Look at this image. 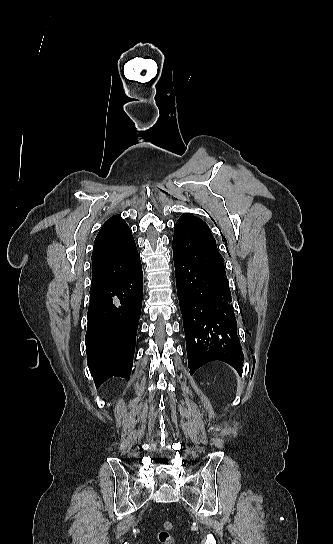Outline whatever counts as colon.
<instances>
[{"label": "colon", "instance_id": "1", "mask_svg": "<svg viewBox=\"0 0 333 544\" xmlns=\"http://www.w3.org/2000/svg\"><path fill=\"white\" fill-rule=\"evenodd\" d=\"M173 529V523L165 521L162 528L157 533V538L162 544H175V540L171 534Z\"/></svg>", "mask_w": 333, "mask_h": 544}]
</instances>
